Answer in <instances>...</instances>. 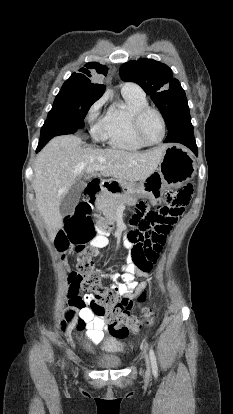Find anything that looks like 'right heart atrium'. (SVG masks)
<instances>
[{
	"instance_id": "d8ad5b80",
	"label": "right heart atrium",
	"mask_w": 233,
	"mask_h": 414,
	"mask_svg": "<svg viewBox=\"0 0 233 414\" xmlns=\"http://www.w3.org/2000/svg\"><path fill=\"white\" fill-rule=\"evenodd\" d=\"M104 98L99 99L98 101H96L89 109L88 113H87V121L89 123L94 122V120L96 119V117L99 114V111L101 109V107L104 104ZM95 137L100 138V135L98 134L97 131H95Z\"/></svg>"
}]
</instances>
